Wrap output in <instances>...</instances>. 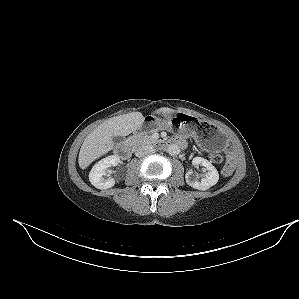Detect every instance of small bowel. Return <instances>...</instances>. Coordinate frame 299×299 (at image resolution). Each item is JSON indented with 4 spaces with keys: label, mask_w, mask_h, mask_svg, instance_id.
Masks as SVG:
<instances>
[{
    "label": "small bowel",
    "mask_w": 299,
    "mask_h": 299,
    "mask_svg": "<svg viewBox=\"0 0 299 299\" xmlns=\"http://www.w3.org/2000/svg\"><path fill=\"white\" fill-rule=\"evenodd\" d=\"M179 140H181V141L183 142V145H185V142H184V140H182V139H179Z\"/></svg>",
    "instance_id": "1"
}]
</instances>
